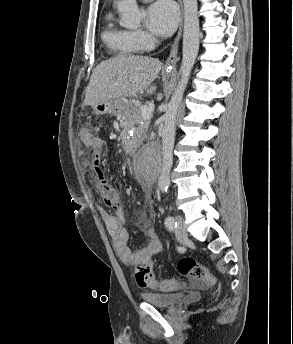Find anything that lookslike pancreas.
Masks as SVG:
<instances>
[{
    "mask_svg": "<svg viewBox=\"0 0 293 344\" xmlns=\"http://www.w3.org/2000/svg\"><path fill=\"white\" fill-rule=\"evenodd\" d=\"M150 119H143L141 116V110L134 107L132 108L130 114L127 118V124L129 128H133L135 125H139L140 128L137 130L139 134H141V140L146 138V131L150 124Z\"/></svg>",
    "mask_w": 293,
    "mask_h": 344,
    "instance_id": "1",
    "label": "pancreas"
}]
</instances>
